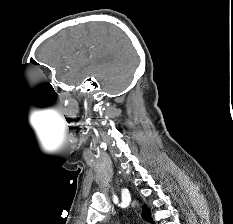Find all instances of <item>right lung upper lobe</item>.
<instances>
[{
  "label": "right lung upper lobe",
  "instance_id": "cb5924a9",
  "mask_svg": "<svg viewBox=\"0 0 233 224\" xmlns=\"http://www.w3.org/2000/svg\"><path fill=\"white\" fill-rule=\"evenodd\" d=\"M142 217L145 221L154 224L153 220L151 218V213L150 210H148V208H146L145 206L143 207V211H142Z\"/></svg>",
  "mask_w": 233,
  "mask_h": 224
}]
</instances>
